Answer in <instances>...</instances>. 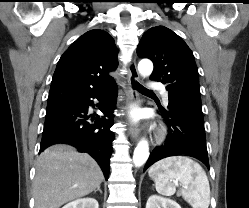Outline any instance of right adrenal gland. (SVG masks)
<instances>
[{"instance_id":"obj_1","label":"right adrenal gland","mask_w":249,"mask_h":208,"mask_svg":"<svg viewBox=\"0 0 249 208\" xmlns=\"http://www.w3.org/2000/svg\"><path fill=\"white\" fill-rule=\"evenodd\" d=\"M97 191H99L100 192V194H102V190L100 189V186L96 189V190H94V194L97 192Z\"/></svg>"}]
</instances>
